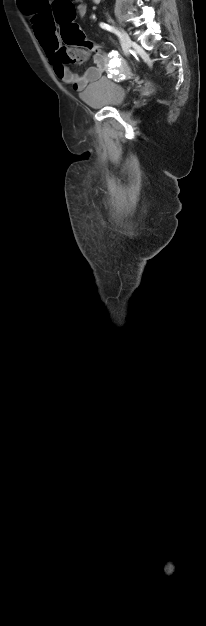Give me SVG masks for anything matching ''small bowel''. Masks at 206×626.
Segmentation results:
<instances>
[{
	"label": "small bowel",
	"mask_w": 206,
	"mask_h": 626,
	"mask_svg": "<svg viewBox=\"0 0 206 626\" xmlns=\"http://www.w3.org/2000/svg\"><path fill=\"white\" fill-rule=\"evenodd\" d=\"M77 14L83 18L87 13V5L80 2L77 5ZM33 31L35 36L54 66V72L58 79L66 84H71L77 91H82L86 86L97 80L104 70L124 69V63L117 52L112 51L108 55L99 50L93 57L95 66L89 67L83 74L73 72L64 61L59 58L60 44L55 34V26L50 12L45 10H33L31 13Z\"/></svg>",
	"instance_id": "c3829d8e"
}]
</instances>
